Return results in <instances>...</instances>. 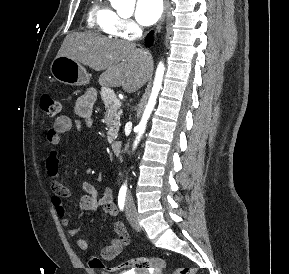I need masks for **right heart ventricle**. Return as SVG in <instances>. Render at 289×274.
<instances>
[{"label": "right heart ventricle", "mask_w": 289, "mask_h": 274, "mask_svg": "<svg viewBox=\"0 0 289 274\" xmlns=\"http://www.w3.org/2000/svg\"><path fill=\"white\" fill-rule=\"evenodd\" d=\"M119 16L102 0H95L88 12L87 23L92 29L109 36L119 35L116 23Z\"/></svg>", "instance_id": "1"}]
</instances>
